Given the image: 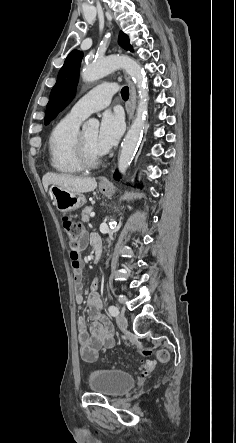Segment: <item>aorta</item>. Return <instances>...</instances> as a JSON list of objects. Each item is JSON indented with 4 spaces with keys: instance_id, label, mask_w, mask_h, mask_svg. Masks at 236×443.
<instances>
[{
    "instance_id": "1",
    "label": "aorta",
    "mask_w": 236,
    "mask_h": 443,
    "mask_svg": "<svg viewBox=\"0 0 236 443\" xmlns=\"http://www.w3.org/2000/svg\"><path fill=\"white\" fill-rule=\"evenodd\" d=\"M117 68H124L126 70L128 75H130L136 83L139 93L136 117L123 140L120 157L118 159L119 171L124 174L128 169L141 140L148 108L147 83L143 74V69L138 62L130 57L114 55L105 58L101 62L85 65L81 72V78L84 82H94L108 75ZM86 126L98 128L99 121L94 118L89 119L84 124V127ZM113 222L114 221H112V223Z\"/></svg>"
}]
</instances>
